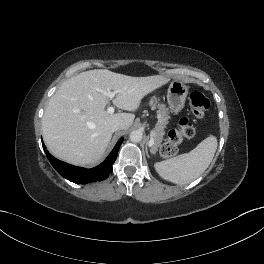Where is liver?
Wrapping results in <instances>:
<instances>
[{
  "mask_svg": "<svg viewBox=\"0 0 264 264\" xmlns=\"http://www.w3.org/2000/svg\"><path fill=\"white\" fill-rule=\"evenodd\" d=\"M162 75L132 77L109 70L82 72L65 81L51 97L42 118V133L49 151L74 165H93L104 155L112 126L129 129L133 113L109 114L106 95L119 91L112 102L119 109L135 111L148 93L168 83Z\"/></svg>",
  "mask_w": 264,
  "mask_h": 264,
  "instance_id": "6515ba94",
  "label": "liver"
}]
</instances>
